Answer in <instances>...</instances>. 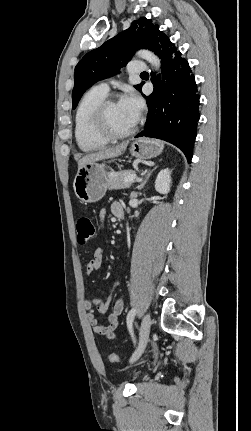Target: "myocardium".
Listing matches in <instances>:
<instances>
[{"label":"myocardium","mask_w":251,"mask_h":431,"mask_svg":"<svg viewBox=\"0 0 251 431\" xmlns=\"http://www.w3.org/2000/svg\"><path fill=\"white\" fill-rule=\"evenodd\" d=\"M115 102H117V99L115 97L113 96L105 97L98 104L93 114L92 126H93L94 132L98 136L108 141L124 139L131 136L137 130L138 122H139V120H136L134 125L130 129L124 132H116L112 130L108 124L107 111L109 106Z\"/></svg>","instance_id":"1"}]
</instances>
